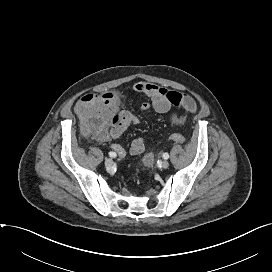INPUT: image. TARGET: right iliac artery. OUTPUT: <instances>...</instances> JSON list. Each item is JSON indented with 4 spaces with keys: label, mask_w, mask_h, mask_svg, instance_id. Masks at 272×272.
Instances as JSON below:
<instances>
[{
    "label": "right iliac artery",
    "mask_w": 272,
    "mask_h": 272,
    "mask_svg": "<svg viewBox=\"0 0 272 272\" xmlns=\"http://www.w3.org/2000/svg\"><path fill=\"white\" fill-rule=\"evenodd\" d=\"M109 156L111 158H115L117 156V154L115 152L111 151V152H109Z\"/></svg>",
    "instance_id": "1"
}]
</instances>
